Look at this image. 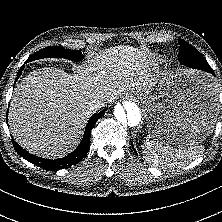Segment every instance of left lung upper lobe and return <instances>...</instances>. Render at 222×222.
Segmentation results:
<instances>
[{
	"label": "left lung upper lobe",
	"mask_w": 222,
	"mask_h": 222,
	"mask_svg": "<svg viewBox=\"0 0 222 222\" xmlns=\"http://www.w3.org/2000/svg\"><path fill=\"white\" fill-rule=\"evenodd\" d=\"M179 43H180L179 60L181 64H184L185 61L190 60L191 62L200 65V69L203 71L212 70L207 61L193 46H191L183 39H179Z\"/></svg>",
	"instance_id": "obj_1"
}]
</instances>
